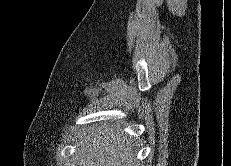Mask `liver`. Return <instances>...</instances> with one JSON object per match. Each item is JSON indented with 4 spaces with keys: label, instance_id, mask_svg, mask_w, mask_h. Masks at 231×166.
<instances>
[{
    "label": "liver",
    "instance_id": "obj_1",
    "mask_svg": "<svg viewBox=\"0 0 231 166\" xmlns=\"http://www.w3.org/2000/svg\"><path fill=\"white\" fill-rule=\"evenodd\" d=\"M80 166H138L133 141L118 124H103L84 133L75 144Z\"/></svg>",
    "mask_w": 231,
    "mask_h": 166
}]
</instances>
